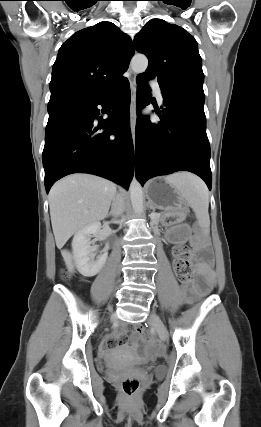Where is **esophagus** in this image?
I'll return each mask as SVG.
<instances>
[{
    "label": "esophagus",
    "mask_w": 261,
    "mask_h": 427,
    "mask_svg": "<svg viewBox=\"0 0 261 427\" xmlns=\"http://www.w3.org/2000/svg\"><path fill=\"white\" fill-rule=\"evenodd\" d=\"M130 89H131V103H130V128L132 134L133 144H135V128H136V74L129 68Z\"/></svg>",
    "instance_id": "esophagus-1"
}]
</instances>
